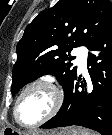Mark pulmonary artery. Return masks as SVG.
I'll use <instances>...</instances> for the list:
<instances>
[{
  "instance_id": "pulmonary-artery-1",
  "label": "pulmonary artery",
  "mask_w": 112,
  "mask_h": 135,
  "mask_svg": "<svg viewBox=\"0 0 112 135\" xmlns=\"http://www.w3.org/2000/svg\"><path fill=\"white\" fill-rule=\"evenodd\" d=\"M76 63L81 71L86 70V63H87V49L82 48L78 52H76Z\"/></svg>"
}]
</instances>
